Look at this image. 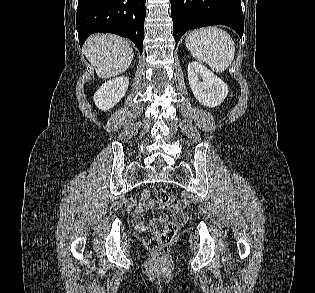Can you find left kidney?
I'll list each match as a JSON object with an SVG mask.
<instances>
[{
    "label": "left kidney",
    "instance_id": "5707ae66",
    "mask_svg": "<svg viewBox=\"0 0 315 293\" xmlns=\"http://www.w3.org/2000/svg\"><path fill=\"white\" fill-rule=\"evenodd\" d=\"M188 80L194 96L206 107H217L228 95L227 85L198 62L188 65Z\"/></svg>",
    "mask_w": 315,
    "mask_h": 293
}]
</instances>
